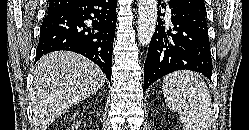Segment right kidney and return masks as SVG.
<instances>
[{
	"mask_svg": "<svg viewBox=\"0 0 249 130\" xmlns=\"http://www.w3.org/2000/svg\"><path fill=\"white\" fill-rule=\"evenodd\" d=\"M76 114H78V113H74V114H73V118L76 116Z\"/></svg>",
	"mask_w": 249,
	"mask_h": 130,
	"instance_id": "ca27d5eb",
	"label": "right kidney"
}]
</instances>
